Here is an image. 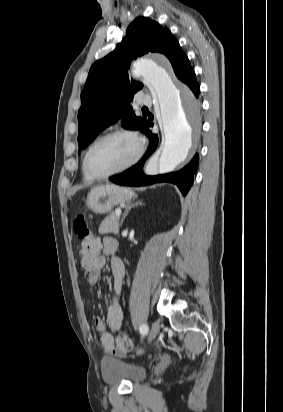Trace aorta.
I'll return each instance as SVG.
<instances>
[{
	"mask_svg": "<svg viewBox=\"0 0 283 412\" xmlns=\"http://www.w3.org/2000/svg\"><path fill=\"white\" fill-rule=\"evenodd\" d=\"M131 73L141 77L156 94L159 105V123L164 144L158 159L160 174L172 172L184 161L196 137L197 106L186 86L177 87L168 67L151 59H140L132 65ZM150 168H147V172Z\"/></svg>",
	"mask_w": 283,
	"mask_h": 412,
	"instance_id": "obj_1",
	"label": "aorta"
}]
</instances>
